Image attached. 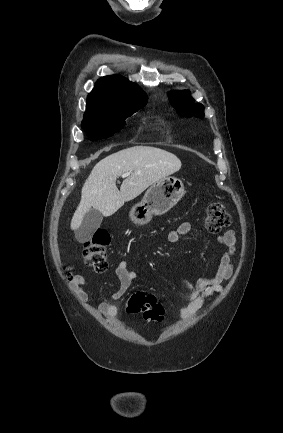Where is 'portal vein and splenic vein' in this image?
Wrapping results in <instances>:
<instances>
[{"mask_svg": "<svg viewBox=\"0 0 283 433\" xmlns=\"http://www.w3.org/2000/svg\"><path fill=\"white\" fill-rule=\"evenodd\" d=\"M128 174H131V172H124V174H121L122 178H125V176H128Z\"/></svg>", "mask_w": 283, "mask_h": 433, "instance_id": "obj_1", "label": "portal vein and splenic vein"}]
</instances>
